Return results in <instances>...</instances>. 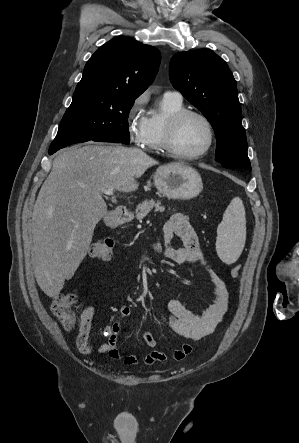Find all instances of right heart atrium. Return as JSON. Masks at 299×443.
Wrapping results in <instances>:
<instances>
[{"mask_svg":"<svg viewBox=\"0 0 299 443\" xmlns=\"http://www.w3.org/2000/svg\"><path fill=\"white\" fill-rule=\"evenodd\" d=\"M146 96L141 94L136 97L129 105L125 115V125L129 138L137 145L144 142L148 117L145 115Z\"/></svg>","mask_w":299,"mask_h":443,"instance_id":"obj_1","label":"right heart atrium"}]
</instances>
